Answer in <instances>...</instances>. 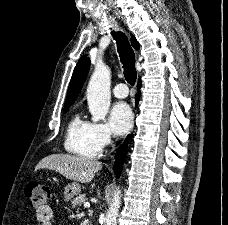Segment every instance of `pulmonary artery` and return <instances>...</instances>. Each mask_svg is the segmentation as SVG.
<instances>
[{"mask_svg":"<svg viewBox=\"0 0 228 225\" xmlns=\"http://www.w3.org/2000/svg\"><path fill=\"white\" fill-rule=\"evenodd\" d=\"M112 92L115 97L123 99L128 96L129 89L124 83H119L113 88Z\"/></svg>","mask_w":228,"mask_h":225,"instance_id":"obj_1","label":"pulmonary artery"}]
</instances>
